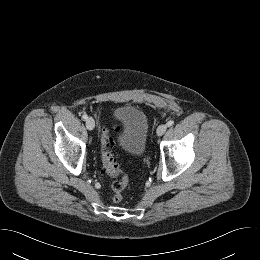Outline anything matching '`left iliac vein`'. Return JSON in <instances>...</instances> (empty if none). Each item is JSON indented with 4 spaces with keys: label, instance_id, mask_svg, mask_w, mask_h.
<instances>
[{
    "label": "left iliac vein",
    "instance_id": "left-iliac-vein-1",
    "mask_svg": "<svg viewBox=\"0 0 260 260\" xmlns=\"http://www.w3.org/2000/svg\"><path fill=\"white\" fill-rule=\"evenodd\" d=\"M167 130V126L162 124L157 128V135L162 136Z\"/></svg>",
    "mask_w": 260,
    "mask_h": 260
}]
</instances>
